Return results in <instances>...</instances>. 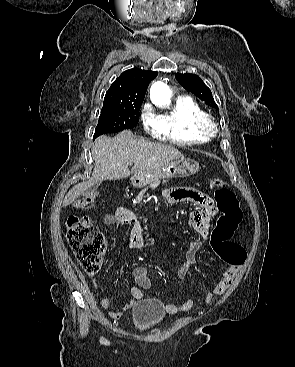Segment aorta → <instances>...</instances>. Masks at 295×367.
Listing matches in <instances>:
<instances>
[{
	"label": "aorta",
	"instance_id": "obj_1",
	"mask_svg": "<svg viewBox=\"0 0 295 367\" xmlns=\"http://www.w3.org/2000/svg\"><path fill=\"white\" fill-rule=\"evenodd\" d=\"M150 97L154 104L158 106H166L171 101V92L166 84L156 82L152 85Z\"/></svg>",
	"mask_w": 295,
	"mask_h": 367
}]
</instances>
